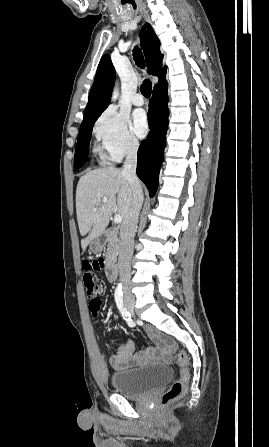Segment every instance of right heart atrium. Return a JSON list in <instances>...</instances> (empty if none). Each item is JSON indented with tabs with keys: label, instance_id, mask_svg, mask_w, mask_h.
Here are the masks:
<instances>
[{
	"label": "right heart atrium",
	"instance_id": "right-heart-atrium-1",
	"mask_svg": "<svg viewBox=\"0 0 269 447\" xmlns=\"http://www.w3.org/2000/svg\"><path fill=\"white\" fill-rule=\"evenodd\" d=\"M93 133L102 150L114 161L134 153L139 141L129 128L128 119L113 106L98 117Z\"/></svg>",
	"mask_w": 269,
	"mask_h": 447
}]
</instances>
